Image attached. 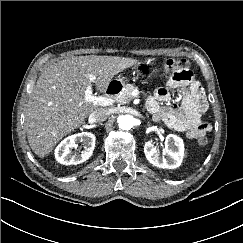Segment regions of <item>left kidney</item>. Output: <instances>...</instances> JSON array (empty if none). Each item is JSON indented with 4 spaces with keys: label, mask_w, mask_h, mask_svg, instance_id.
I'll use <instances>...</instances> for the list:
<instances>
[{
    "label": "left kidney",
    "mask_w": 243,
    "mask_h": 243,
    "mask_svg": "<svg viewBox=\"0 0 243 243\" xmlns=\"http://www.w3.org/2000/svg\"><path fill=\"white\" fill-rule=\"evenodd\" d=\"M165 155L160 156L152 141L144 145L146 159L154 166L163 169H175L182 163L184 157L183 140L174 134L167 135L165 139Z\"/></svg>",
    "instance_id": "obj_1"
}]
</instances>
